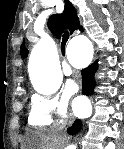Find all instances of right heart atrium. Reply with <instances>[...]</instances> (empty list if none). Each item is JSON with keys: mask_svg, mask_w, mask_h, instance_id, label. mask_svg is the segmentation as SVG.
<instances>
[{"mask_svg": "<svg viewBox=\"0 0 124 149\" xmlns=\"http://www.w3.org/2000/svg\"><path fill=\"white\" fill-rule=\"evenodd\" d=\"M67 112V99L36 95L31 103L28 123L34 127H48L54 124V116L63 118Z\"/></svg>", "mask_w": 124, "mask_h": 149, "instance_id": "obj_1", "label": "right heart atrium"}]
</instances>
